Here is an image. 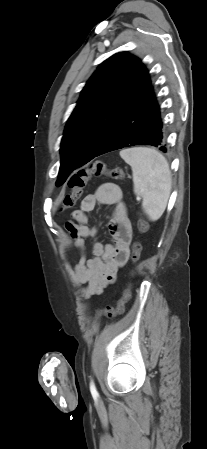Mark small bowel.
I'll return each instance as SVG.
<instances>
[{
  "label": "small bowel",
  "mask_w": 207,
  "mask_h": 449,
  "mask_svg": "<svg viewBox=\"0 0 207 449\" xmlns=\"http://www.w3.org/2000/svg\"><path fill=\"white\" fill-rule=\"evenodd\" d=\"M97 204L113 205L109 222L113 243L103 245L96 241L93 245L94 257L86 259L85 239L97 236V228L88 225V214ZM65 228L79 254V261L76 264L69 260L65 262L72 284L76 287L86 284L81 288L86 298L101 294L116 280L118 270L126 264L130 255L132 228L121 189L113 183H105L98 187L82 200L77 210L73 211L72 220L66 222Z\"/></svg>",
  "instance_id": "1"
}]
</instances>
